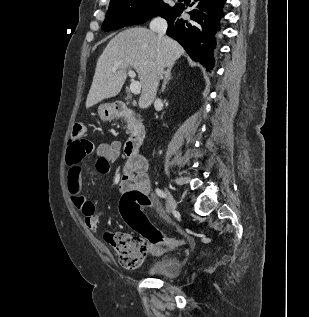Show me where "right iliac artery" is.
<instances>
[{
	"instance_id": "obj_1",
	"label": "right iliac artery",
	"mask_w": 309,
	"mask_h": 317,
	"mask_svg": "<svg viewBox=\"0 0 309 317\" xmlns=\"http://www.w3.org/2000/svg\"><path fill=\"white\" fill-rule=\"evenodd\" d=\"M155 192H156V194L159 196V197H161V198H166V194H165V192H163L161 189H156L155 190Z\"/></svg>"
}]
</instances>
